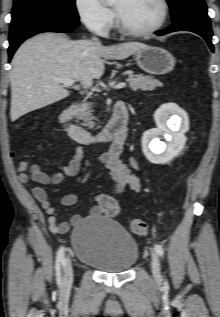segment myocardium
<instances>
[{
  "label": "myocardium",
  "instance_id": "f54148a6",
  "mask_svg": "<svg viewBox=\"0 0 220 317\" xmlns=\"http://www.w3.org/2000/svg\"><path fill=\"white\" fill-rule=\"evenodd\" d=\"M158 2L161 6V16L156 24H154L153 26L146 28V29L135 30V29H131V28L126 27L121 22V20L117 16V14H115V25H116V28L118 29V31L126 36L141 37V36L151 35V34L157 32L158 30H160L167 21V18L169 15V4H168L167 0H158Z\"/></svg>",
  "mask_w": 220,
  "mask_h": 317
}]
</instances>
